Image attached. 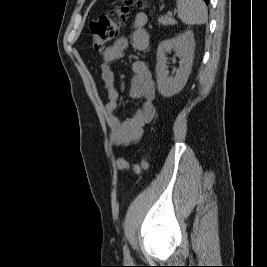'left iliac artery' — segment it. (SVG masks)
Here are the masks:
<instances>
[{"label":"left iliac artery","instance_id":"left-iliac-artery-1","mask_svg":"<svg viewBox=\"0 0 267 267\" xmlns=\"http://www.w3.org/2000/svg\"><path fill=\"white\" fill-rule=\"evenodd\" d=\"M123 252H124L125 258L130 259V252H129L128 246L126 244L123 246Z\"/></svg>","mask_w":267,"mask_h":267}]
</instances>
